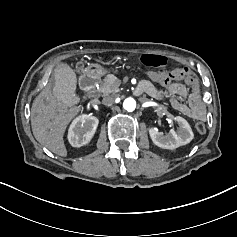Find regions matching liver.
<instances>
[{"label": "liver", "mask_w": 237, "mask_h": 237, "mask_svg": "<svg viewBox=\"0 0 237 237\" xmlns=\"http://www.w3.org/2000/svg\"><path fill=\"white\" fill-rule=\"evenodd\" d=\"M79 102L76 98L75 104ZM83 107H68L49 92L40 93L31 107V129L36 141L52 153L67 157L64 134L71 121L82 113Z\"/></svg>", "instance_id": "liver-1"}]
</instances>
